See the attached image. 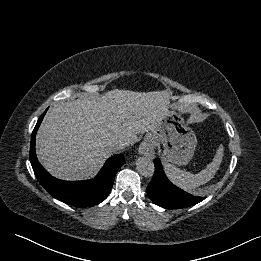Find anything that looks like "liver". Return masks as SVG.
Wrapping results in <instances>:
<instances>
[{"mask_svg":"<svg viewBox=\"0 0 261 261\" xmlns=\"http://www.w3.org/2000/svg\"><path fill=\"white\" fill-rule=\"evenodd\" d=\"M169 91L114 89L54 105L37 132V155L46 170L66 180L95 174L116 150L117 140L134 144L168 113Z\"/></svg>","mask_w":261,"mask_h":261,"instance_id":"liver-1","label":"liver"}]
</instances>
